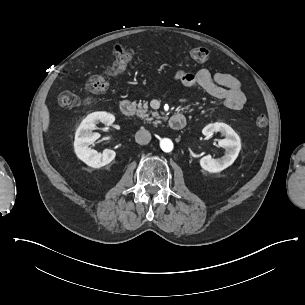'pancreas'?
<instances>
[{"label": "pancreas", "instance_id": "pancreas-1", "mask_svg": "<svg viewBox=\"0 0 305 305\" xmlns=\"http://www.w3.org/2000/svg\"><path fill=\"white\" fill-rule=\"evenodd\" d=\"M138 111H137V116L146 122L149 121H153L154 124H159L161 121L159 120L161 118V116L159 115L158 112H154V111H150L148 113V104L144 103L142 105L141 102L138 103L137 105ZM155 118H157L158 120H156Z\"/></svg>", "mask_w": 305, "mask_h": 305}]
</instances>
